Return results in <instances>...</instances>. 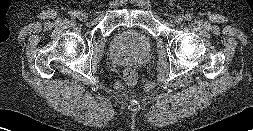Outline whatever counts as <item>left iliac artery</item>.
<instances>
[{"mask_svg": "<svg viewBox=\"0 0 253 131\" xmlns=\"http://www.w3.org/2000/svg\"><path fill=\"white\" fill-rule=\"evenodd\" d=\"M192 19H193V15H192L191 13H187V14L185 15V20L191 21Z\"/></svg>", "mask_w": 253, "mask_h": 131, "instance_id": "1", "label": "left iliac artery"}]
</instances>
